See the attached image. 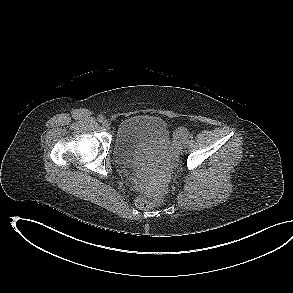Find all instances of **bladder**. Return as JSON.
<instances>
[{
  "mask_svg": "<svg viewBox=\"0 0 293 293\" xmlns=\"http://www.w3.org/2000/svg\"><path fill=\"white\" fill-rule=\"evenodd\" d=\"M169 141L166 122L154 115L136 114L119 124L113 144V156L123 166L140 163L139 152L147 145H165Z\"/></svg>",
  "mask_w": 293,
  "mask_h": 293,
  "instance_id": "1",
  "label": "bladder"
}]
</instances>
